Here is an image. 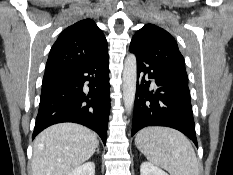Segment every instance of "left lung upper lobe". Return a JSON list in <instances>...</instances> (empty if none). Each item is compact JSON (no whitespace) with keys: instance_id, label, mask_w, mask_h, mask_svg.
<instances>
[{"instance_id":"1","label":"left lung upper lobe","mask_w":233,"mask_h":175,"mask_svg":"<svg viewBox=\"0 0 233 175\" xmlns=\"http://www.w3.org/2000/svg\"><path fill=\"white\" fill-rule=\"evenodd\" d=\"M130 45L153 64L187 75L177 43L166 30L154 24H146L135 33Z\"/></svg>"}]
</instances>
